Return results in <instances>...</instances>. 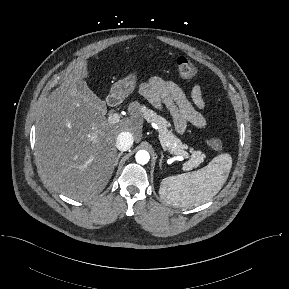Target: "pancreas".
<instances>
[{
    "label": "pancreas",
    "instance_id": "obj_1",
    "mask_svg": "<svg viewBox=\"0 0 289 289\" xmlns=\"http://www.w3.org/2000/svg\"><path fill=\"white\" fill-rule=\"evenodd\" d=\"M142 112L144 118L148 122L157 124L159 131V140L164 149L171 152H176L184 151V149L188 148V146L186 144H183L181 140L172 133V131L168 130V128L170 127V123H168L165 118L158 115L154 111L146 108H143ZM204 158L205 155L203 153H201L200 151L192 150L191 159L184 164V169L191 170L198 167L200 163L203 162Z\"/></svg>",
    "mask_w": 289,
    "mask_h": 289
}]
</instances>
